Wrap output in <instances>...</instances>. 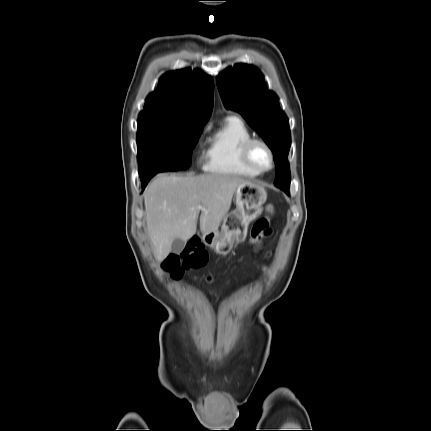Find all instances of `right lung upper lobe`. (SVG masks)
<instances>
[{"label": "right lung upper lobe", "mask_w": 431, "mask_h": 431, "mask_svg": "<svg viewBox=\"0 0 431 431\" xmlns=\"http://www.w3.org/2000/svg\"><path fill=\"white\" fill-rule=\"evenodd\" d=\"M213 88L212 77L199 69L168 72L147 97L138 120L161 119L205 125L212 111Z\"/></svg>", "instance_id": "cb5924a9"}]
</instances>
